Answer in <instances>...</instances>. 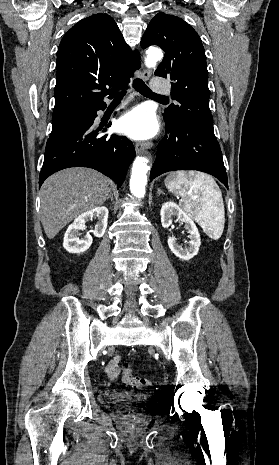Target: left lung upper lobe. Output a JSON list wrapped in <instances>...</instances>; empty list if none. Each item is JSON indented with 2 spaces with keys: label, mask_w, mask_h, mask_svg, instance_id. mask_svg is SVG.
<instances>
[{
  "label": "left lung upper lobe",
  "mask_w": 279,
  "mask_h": 465,
  "mask_svg": "<svg viewBox=\"0 0 279 465\" xmlns=\"http://www.w3.org/2000/svg\"><path fill=\"white\" fill-rule=\"evenodd\" d=\"M151 45L165 51L155 75L171 78V96L179 102L165 109V123L189 122L214 134L205 51L196 31L177 16L158 13L141 39L142 48Z\"/></svg>",
  "instance_id": "obj_1"
}]
</instances>
